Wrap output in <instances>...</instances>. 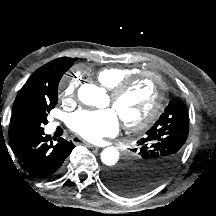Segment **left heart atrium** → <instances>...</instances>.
<instances>
[{
	"label": "left heart atrium",
	"mask_w": 216,
	"mask_h": 216,
	"mask_svg": "<svg viewBox=\"0 0 216 216\" xmlns=\"http://www.w3.org/2000/svg\"><path fill=\"white\" fill-rule=\"evenodd\" d=\"M70 129L89 141L113 136L119 130V116L114 109L79 110L68 120Z\"/></svg>",
	"instance_id": "left-heart-atrium-1"
}]
</instances>
